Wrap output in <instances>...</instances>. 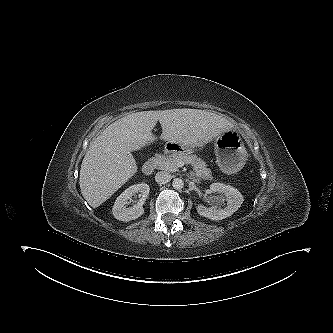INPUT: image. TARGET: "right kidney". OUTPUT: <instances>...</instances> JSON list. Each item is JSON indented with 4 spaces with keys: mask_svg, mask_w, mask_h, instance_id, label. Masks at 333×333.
<instances>
[{
    "mask_svg": "<svg viewBox=\"0 0 333 333\" xmlns=\"http://www.w3.org/2000/svg\"><path fill=\"white\" fill-rule=\"evenodd\" d=\"M149 190V185L145 183L135 184L127 188L120 194L113 205L112 212L114 217L120 221L128 222L143 215L144 208L141 204L137 203L131 207H128L127 204L129 199L136 193L146 197L149 194Z\"/></svg>",
    "mask_w": 333,
    "mask_h": 333,
    "instance_id": "ca27d5eb",
    "label": "right kidney"
}]
</instances>
